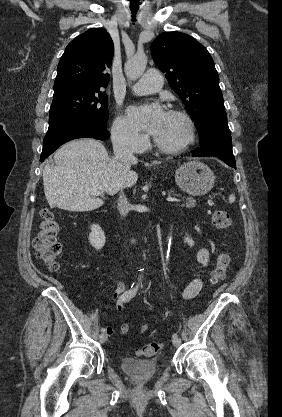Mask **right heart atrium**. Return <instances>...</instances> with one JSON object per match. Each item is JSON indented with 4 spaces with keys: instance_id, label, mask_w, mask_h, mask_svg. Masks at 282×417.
<instances>
[{
    "instance_id": "right-heart-atrium-1",
    "label": "right heart atrium",
    "mask_w": 282,
    "mask_h": 417,
    "mask_svg": "<svg viewBox=\"0 0 282 417\" xmlns=\"http://www.w3.org/2000/svg\"><path fill=\"white\" fill-rule=\"evenodd\" d=\"M112 141L119 151L138 153L145 147L146 136L139 134L124 117L119 116L112 127Z\"/></svg>"
}]
</instances>
